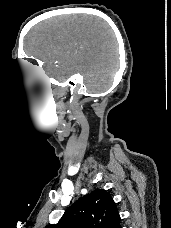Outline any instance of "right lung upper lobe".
<instances>
[{"label":"right lung upper lobe","mask_w":171,"mask_h":228,"mask_svg":"<svg viewBox=\"0 0 171 228\" xmlns=\"http://www.w3.org/2000/svg\"><path fill=\"white\" fill-rule=\"evenodd\" d=\"M46 228H121L120 216L106 190H94L81 197L56 224Z\"/></svg>","instance_id":"cb5924a9"}]
</instances>
